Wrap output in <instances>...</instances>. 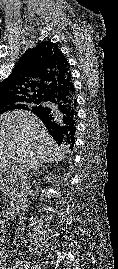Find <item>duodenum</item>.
<instances>
[{
  "instance_id": "obj_1",
  "label": "duodenum",
  "mask_w": 118,
  "mask_h": 269,
  "mask_svg": "<svg viewBox=\"0 0 118 269\" xmlns=\"http://www.w3.org/2000/svg\"><path fill=\"white\" fill-rule=\"evenodd\" d=\"M12 193H14V191H12ZM15 209H16L15 204L10 205L5 213H3V214L0 213V218L5 220V221L10 220L12 218V215H13Z\"/></svg>"
}]
</instances>
